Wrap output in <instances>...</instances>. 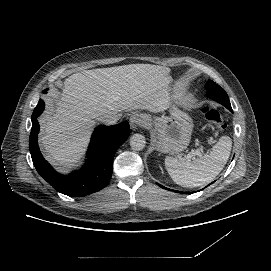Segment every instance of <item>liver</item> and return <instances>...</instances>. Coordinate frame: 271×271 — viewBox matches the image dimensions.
I'll list each match as a JSON object with an SVG mask.
<instances>
[{"mask_svg": "<svg viewBox=\"0 0 271 271\" xmlns=\"http://www.w3.org/2000/svg\"><path fill=\"white\" fill-rule=\"evenodd\" d=\"M169 73L165 66L129 64L84 70L66 78L62 93L39 121V142L48 160L67 168L77 163L90 140V129L105 113L163 111L170 91Z\"/></svg>", "mask_w": 271, "mask_h": 271, "instance_id": "6515ba94", "label": "liver"}]
</instances>
